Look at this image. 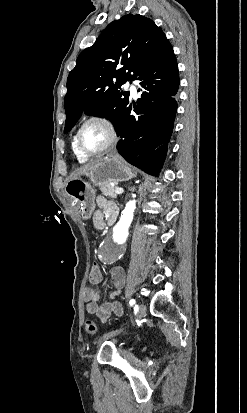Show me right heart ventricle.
I'll return each mask as SVG.
<instances>
[{
  "instance_id": "e07e8e85",
  "label": "right heart ventricle",
  "mask_w": 247,
  "mask_h": 413,
  "mask_svg": "<svg viewBox=\"0 0 247 413\" xmlns=\"http://www.w3.org/2000/svg\"><path fill=\"white\" fill-rule=\"evenodd\" d=\"M72 147H73L75 156H76L77 160H78L80 163H84V162H86V161L88 160V158L84 157L83 155H81V154L78 152V150H77V148H76V145H75V136L73 137Z\"/></svg>"
}]
</instances>
